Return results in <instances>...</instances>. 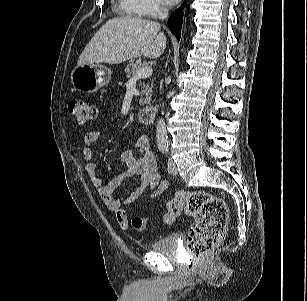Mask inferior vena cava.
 <instances>
[{
    "mask_svg": "<svg viewBox=\"0 0 307 301\" xmlns=\"http://www.w3.org/2000/svg\"><path fill=\"white\" fill-rule=\"evenodd\" d=\"M168 16V10L159 13V19L163 20Z\"/></svg>",
    "mask_w": 307,
    "mask_h": 301,
    "instance_id": "602c4592",
    "label": "inferior vena cava"
}]
</instances>
